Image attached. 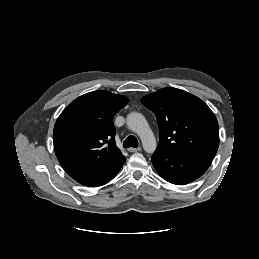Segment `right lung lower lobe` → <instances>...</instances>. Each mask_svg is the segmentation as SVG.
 I'll return each instance as SVG.
<instances>
[{
	"label": "right lung lower lobe",
	"mask_w": 259,
	"mask_h": 259,
	"mask_svg": "<svg viewBox=\"0 0 259 259\" xmlns=\"http://www.w3.org/2000/svg\"><path fill=\"white\" fill-rule=\"evenodd\" d=\"M125 160L126 158L123 157L119 159L117 162H115L114 164H112L111 166H109L108 168H106L105 170L97 174L90 175V176L76 177L74 179L77 182L89 187H98V186L104 185L117 175V173L123 166Z\"/></svg>",
	"instance_id": "1"
}]
</instances>
